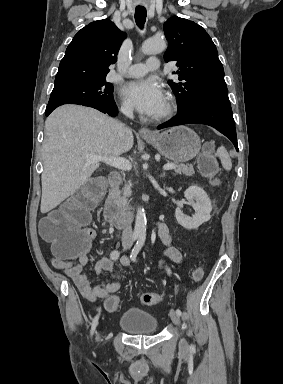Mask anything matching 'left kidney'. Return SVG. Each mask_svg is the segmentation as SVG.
<instances>
[{"mask_svg":"<svg viewBox=\"0 0 283 384\" xmlns=\"http://www.w3.org/2000/svg\"><path fill=\"white\" fill-rule=\"evenodd\" d=\"M188 204H191L192 208L195 210V214L191 216H185L181 208H176L175 218L183 228L187 230H196L204 222L210 220V212H212L211 200L208 198L206 192L198 186H190L186 192H184ZM195 200V202H194Z\"/></svg>","mask_w":283,"mask_h":384,"instance_id":"1","label":"left kidney"}]
</instances>
